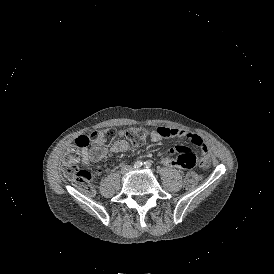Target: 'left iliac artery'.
I'll use <instances>...</instances> for the list:
<instances>
[{"label":"left iliac artery","mask_w":274,"mask_h":274,"mask_svg":"<svg viewBox=\"0 0 274 274\" xmlns=\"http://www.w3.org/2000/svg\"><path fill=\"white\" fill-rule=\"evenodd\" d=\"M144 166H145V168L149 169V168H151L152 164L150 163V161H146V162H144Z\"/></svg>","instance_id":"1"}]
</instances>
